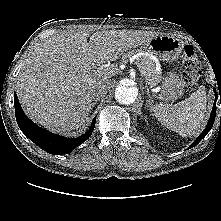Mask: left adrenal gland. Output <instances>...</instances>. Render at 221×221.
<instances>
[{
	"label": "left adrenal gland",
	"mask_w": 221,
	"mask_h": 221,
	"mask_svg": "<svg viewBox=\"0 0 221 221\" xmlns=\"http://www.w3.org/2000/svg\"><path fill=\"white\" fill-rule=\"evenodd\" d=\"M146 93H147V96L149 98L146 102L149 104V107H150V109L152 111L153 110V100H152L151 95L149 94V90L148 89H147Z\"/></svg>",
	"instance_id": "left-adrenal-gland-1"
}]
</instances>
